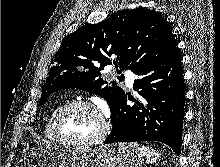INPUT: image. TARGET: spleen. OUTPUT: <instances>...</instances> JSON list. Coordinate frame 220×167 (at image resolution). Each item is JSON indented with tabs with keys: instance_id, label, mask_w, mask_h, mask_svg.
Listing matches in <instances>:
<instances>
[{
	"instance_id": "3e777b00",
	"label": "spleen",
	"mask_w": 220,
	"mask_h": 167,
	"mask_svg": "<svg viewBox=\"0 0 220 167\" xmlns=\"http://www.w3.org/2000/svg\"><path fill=\"white\" fill-rule=\"evenodd\" d=\"M141 151L146 156V162L148 164L155 163L158 160L159 155H160L156 150H153L147 146H142Z\"/></svg>"
}]
</instances>
